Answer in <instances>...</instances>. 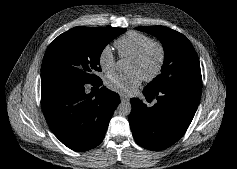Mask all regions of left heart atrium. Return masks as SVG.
Returning <instances> with one entry per match:
<instances>
[{
	"label": "left heart atrium",
	"mask_w": 237,
	"mask_h": 169,
	"mask_svg": "<svg viewBox=\"0 0 237 169\" xmlns=\"http://www.w3.org/2000/svg\"><path fill=\"white\" fill-rule=\"evenodd\" d=\"M142 81V76L136 72L121 74L114 73L107 77L106 85L109 89L122 94L132 93Z\"/></svg>",
	"instance_id": "39dd6f15"
}]
</instances>
